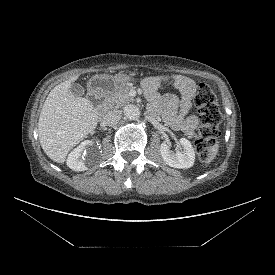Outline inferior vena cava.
<instances>
[{
    "mask_svg": "<svg viewBox=\"0 0 275 275\" xmlns=\"http://www.w3.org/2000/svg\"><path fill=\"white\" fill-rule=\"evenodd\" d=\"M121 119V111L117 109L110 110L104 116V123L108 126L116 125Z\"/></svg>",
    "mask_w": 275,
    "mask_h": 275,
    "instance_id": "obj_1",
    "label": "inferior vena cava"
}]
</instances>
